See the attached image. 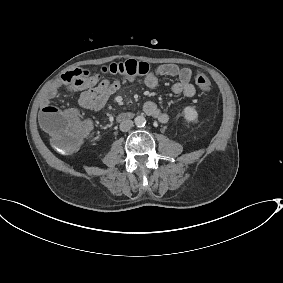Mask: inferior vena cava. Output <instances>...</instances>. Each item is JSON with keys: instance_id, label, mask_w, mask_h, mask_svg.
<instances>
[{"instance_id": "inferior-vena-cava-1", "label": "inferior vena cava", "mask_w": 283, "mask_h": 283, "mask_svg": "<svg viewBox=\"0 0 283 283\" xmlns=\"http://www.w3.org/2000/svg\"><path fill=\"white\" fill-rule=\"evenodd\" d=\"M133 126L132 120H124L120 123V130L126 132Z\"/></svg>"}]
</instances>
